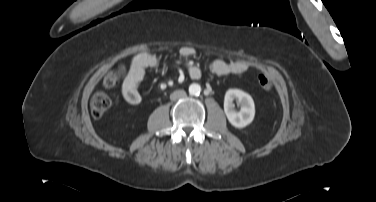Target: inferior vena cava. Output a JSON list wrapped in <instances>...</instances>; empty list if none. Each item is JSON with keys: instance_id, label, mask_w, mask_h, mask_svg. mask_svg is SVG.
Returning <instances> with one entry per match:
<instances>
[{"instance_id": "obj_1", "label": "inferior vena cava", "mask_w": 376, "mask_h": 202, "mask_svg": "<svg viewBox=\"0 0 376 202\" xmlns=\"http://www.w3.org/2000/svg\"><path fill=\"white\" fill-rule=\"evenodd\" d=\"M185 95L184 91H178L171 95V100H175L179 97H183Z\"/></svg>"}]
</instances>
